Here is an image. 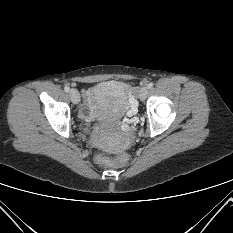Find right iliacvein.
I'll use <instances>...</instances> for the list:
<instances>
[{
    "mask_svg": "<svg viewBox=\"0 0 233 233\" xmlns=\"http://www.w3.org/2000/svg\"><path fill=\"white\" fill-rule=\"evenodd\" d=\"M69 94H70L71 101L74 104L79 103V101H80V95H79V92L76 89H71L70 92H69Z\"/></svg>",
    "mask_w": 233,
    "mask_h": 233,
    "instance_id": "63e3f726",
    "label": "right iliac vein"
}]
</instances>
